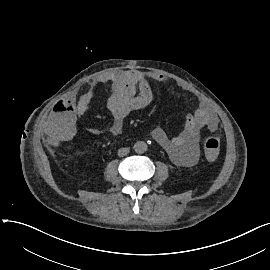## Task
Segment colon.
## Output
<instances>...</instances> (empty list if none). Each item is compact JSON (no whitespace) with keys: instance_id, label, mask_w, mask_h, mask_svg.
<instances>
[{"instance_id":"1","label":"colon","mask_w":270,"mask_h":270,"mask_svg":"<svg viewBox=\"0 0 270 270\" xmlns=\"http://www.w3.org/2000/svg\"><path fill=\"white\" fill-rule=\"evenodd\" d=\"M203 150L207 157L214 158L220 148V141L216 135H206L202 139Z\"/></svg>"}]
</instances>
